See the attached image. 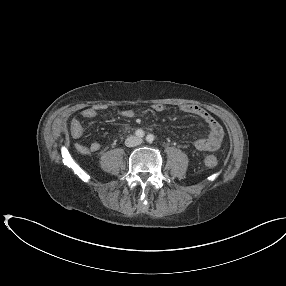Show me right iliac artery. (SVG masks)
Segmentation results:
<instances>
[{
    "mask_svg": "<svg viewBox=\"0 0 286 286\" xmlns=\"http://www.w3.org/2000/svg\"><path fill=\"white\" fill-rule=\"evenodd\" d=\"M135 135L138 137V138H143L145 136V133L142 129H138L135 131Z\"/></svg>",
    "mask_w": 286,
    "mask_h": 286,
    "instance_id": "1",
    "label": "right iliac artery"
}]
</instances>
